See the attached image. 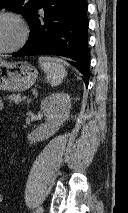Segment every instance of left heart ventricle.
<instances>
[{"instance_id": "obj_1", "label": "left heart ventricle", "mask_w": 128, "mask_h": 213, "mask_svg": "<svg viewBox=\"0 0 128 213\" xmlns=\"http://www.w3.org/2000/svg\"><path fill=\"white\" fill-rule=\"evenodd\" d=\"M20 37L17 23L9 18L0 16V50L13 46Z\"/></svg>"}]
</instances>
